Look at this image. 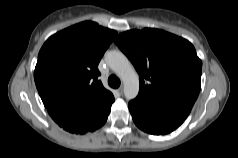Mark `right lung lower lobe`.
<instances>
[{
  "label": "right lung lower lobe",
  "instance_id": "obj_1",
  "mask_svg": "<svg viewBox=\"0 0 238 158\" xmlns=\"http://www.w3.org/2000/svg\"><path fill=\"white\" fill-rule=\"evenodd\" d=\"M113 101L106 104L91 103L48 108L53 120L63 129L84 134L101 127L107 120Z\"/></svg>",
  "mask_w": 238,
  "mask_h": 158
}]
</instances>
